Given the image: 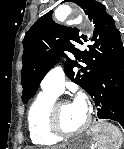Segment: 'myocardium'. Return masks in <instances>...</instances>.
<instances>
[{"instance_id":"obj_1","label":"myocardium","mask_w":124,"mask_h":149,"mask_svg":"<svg viewBox=\"0 0 124 149\" xmlns=\"http://www.w3.org/2000/svg\"><path fill=\"white\" fill-rule=\"evenodd\" d=\"M67 102H69L68 99H61V100L54 101L48 113L49 129L55 136L59 138L75 137L83 133L84 131H86L92 122V113L91 111H89L87 118L81 127L75 130H65L61 126L59 109L62 104L67 103Z\"/></svg>"}]
</instances>
